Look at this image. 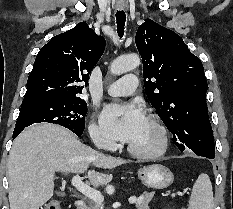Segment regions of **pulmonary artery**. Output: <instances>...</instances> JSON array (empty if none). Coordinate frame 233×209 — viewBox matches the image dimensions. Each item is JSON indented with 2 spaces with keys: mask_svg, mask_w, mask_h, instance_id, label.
Returning <instances> with one entry per match:
<instances>
[{
  "mask_svg": "<svg viewBox=\"0 0 233 209\" xmlns=\"http://www.w3.org/2000/svg\"><path fill=\"white\" fill-rule=\"evenodd\" d=\"M138 84L136 75L129 74L111 83L106 92L111 96H127L135 92Z\"/></svg>",
  "mask_w": 233,
  "mask_h": 209,
  "instance_id": "pulmonary-artery-1",
  "label": "pulmonary artery"
}]
</instances>
